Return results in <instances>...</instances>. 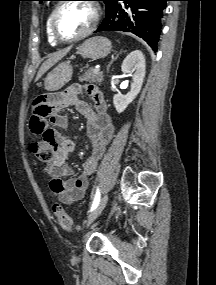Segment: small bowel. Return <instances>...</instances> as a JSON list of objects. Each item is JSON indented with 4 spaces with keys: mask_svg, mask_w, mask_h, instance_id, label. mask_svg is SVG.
<instances>
[{
    "mask_svg": "<svg viewBox=\"0 0 216 285\" xmlns=\"http://www.w3.org/2000/svg\"><path fill=\"white\" fill-rule=\"evenodd\" d=\"M84 95L92 99L95 110L83 99ZM67 106L75 107L85 117L86 135L92 144L91 155L82 164L83 173L74 179H67L73 171L66 161L74 151L75 143L48 125L51 121L56 127L65 128L69 123L68 117L56 111ZM30 128L35 136H39V141L54 148L53 159L45 165L51 193L65 204L81 200L88 187L89 176L95 172L114 133L102 93L92 84H73L47 101L38 98L32 105Z\"/></svg>",
    "mask_w": 216,
    "mask_h": 285,
    "instance_id": "obj_1",
    "label": "small bowel"
}]
</instances>
